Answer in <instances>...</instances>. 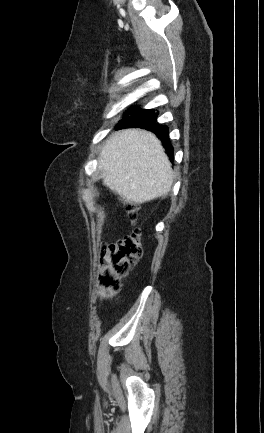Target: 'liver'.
<instances>
[{
	"label": "liver",
	"instance_id": "6515ba94",
	"mask_svg": "<svg viewBox=\"0 0 264 433\" xmlns=\"http://www.w3.org/2000/svg\"><path fill=\"white\" fill-rule=\"evenodd\" d=\"M104 184L126 201L143 204L166 195L173 171L160 140L142 129L112 133L99 155Z\"/></svg>",
	"mask_w": 264,
	"mask_h": 433
}]
</instances>
